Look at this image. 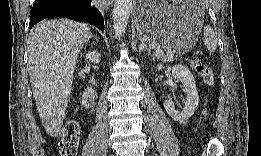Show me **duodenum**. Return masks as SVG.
<instances>
[{"instance_id":"410a0bca","label":"duodenum","mask_w":261,"mask_h":156,"mask_svg":"<svg viewBox=\"0 0 261 156\" xmlns=\"http://www.w3.org/2000/svg\"><path fill=\"white\" fill-rule=\"evenodd\" d=\"M84 97H85V98H90V92H89V91H86V92L84 93Z\"/></svg>"}]
</instances>
